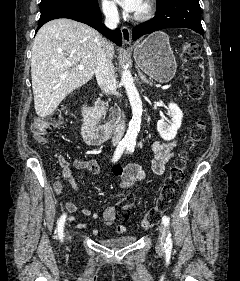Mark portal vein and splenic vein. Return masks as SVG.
Wrapping results in <instances>:
<instances>
[{
  "instance_id": "1",
  "label": "portal vein and splenic vein",
  "mask_w": 240,
  "mask_h": 281,
  "mask_svg": "<svg viewBox=\"0 0 240 281\" xmlns=\"http://www.w3.org/2000/svg\"><path fill=\"white\" fill-rule=\"evenodd\" d=\"M69 65H70V63H69ZM77 69H78V70H83V69H84V66H83V65H78ZM170 87H171V85L169 84V85L162 86L161 89H162V90H167V89H169Z\"/></svg>"
}]
</instances>
